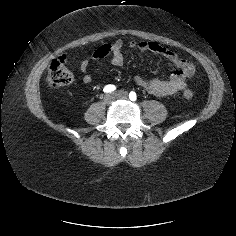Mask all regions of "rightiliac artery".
Here are the masks:
<instances>
[{"mask_svg":"<svg viewBox=\"0 0 236 236\" xmlns=\"http://www.w3.org/2000/svg\"><path fill=\"white\" fill-rule=\"evenodd\" d=\"M115 89H116V87H115L114 85L109 84V85H106V86L104 87L103 91H104L105 93H111V92H113Z\"/></svg>","mask_w":236,"mask_h":236,"instance_id":"82829eb1","label":"right iliac artery"}]
</instances>
